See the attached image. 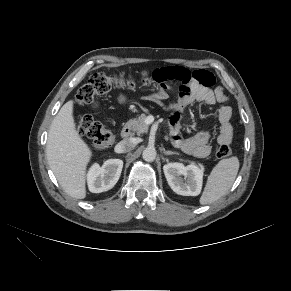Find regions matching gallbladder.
<instances>
[{"label":"gallbladder","mask_w":291,"mask_h":291,"mask_svg":"<svg viewBox=\"0 0 291 291\" xmlns=\"http://www.w3.org/2000/svg\"><path fill=\"white\" fill-rule=\"evenodd\" d=\"M99 106H100L99 102H93V108L94 109L99 108Z\"/></svg>","instance_id":"gallbladder-1"}]
</instances>
